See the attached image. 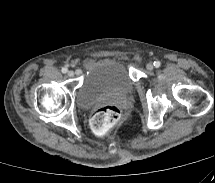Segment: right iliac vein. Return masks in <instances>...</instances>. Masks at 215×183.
Instances as JSON below:
<instances>
[{
  "mask_svg": "<svg viewBox=\"0 0 215 183\" xmlns=\"http://www.w3.org/2000/svg\"><path fill=\"white\" fill-rule=\"evenodd\" d=\"M74 71H72V70H70V71H68V73H67V75L69 76V77H73L74 76Z\"/></svg>",
  "mask_w": 215,
  "mask_h": 183,
  "instance_id": "63e3f726",
  "label": "right iliac vein"
}]
</instances>
